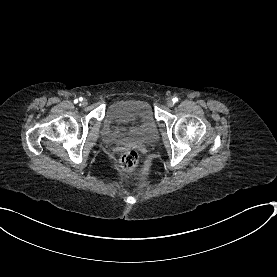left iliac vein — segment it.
<instances>
[{
	"instance_id": "left-iliac-vein-1",
	"label": "left iliac vein",
	"mask_w": 277,
	"mask_h": 277,
	"mask_svg": "<svg viewBox=\"0 0 277 277\" xmlns=\"http://www.w3.org/2000/svg\"><path fill=\"white\" fill-rule=\"evenodd\" d=\"M168 107H173L174 106V101L172 99H168L166 102Z\"/></svg>"
}]
</instances>
